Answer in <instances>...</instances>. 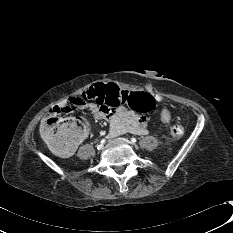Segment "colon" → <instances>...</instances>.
<instances>
[{
    "label": "colon",
    "mask_w": 233,
    "mask_h": 233,
    "mask_svg": "<svg viewBox=\"0 0 233 233\" xmlns=\"http://www.w3.org/2000/svg\"><path fill=\"white\" fill-rule=\"evenodd\" d=\"M82 98L93 106L101 103L115 108L124 106L142 114L152 112L156 106V101L151 94L128 90L125 85L117 84L112 80L94 83ZM71 110V106L56 107L44 118L41 125L44 140L61 157L70 156L74 146L88 134V126L84 119L62 120L61 114ZM159 116L161 120L168 121L171 118L170 109L163 108ZM169 133L173 138L178 139L184 135V128L179 124H172L169 127Z\"/></svg>",
    "instance_id": "5ec220e1"
}]
</instances>
